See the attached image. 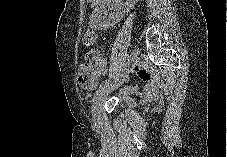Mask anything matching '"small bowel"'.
<instances>
[{
	"label": "small bowel",
	"mask_w": 227,
	"mask_h": 157,
	"mask_svg": "<svg viewBox=\"0 0 227 157\" xmlns=\"http://www.w3.org/2000/svg\"><path fill=\"white\" fill-rule=\"evenodd\" d=\"M132 72L136 73L140 80L143 82V89L139 90L136 85H127L122 88L119 92L123 99L131 106L136 105V100L131 95H136L139 98L140 103H147L156 96L157 86L151 79L149 73L143 68L134 66L131 69ZM106 73V61L101 59L94 71V80L90 87L95 88L98 85L99 78Z\"/></svg>",
	"instance_id": "obj_1"
}]
</instances>
